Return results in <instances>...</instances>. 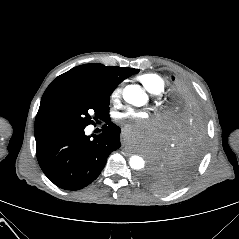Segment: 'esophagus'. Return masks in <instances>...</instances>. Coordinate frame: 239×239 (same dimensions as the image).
<instances>
[{"label": "esophagus", "mask_w": 239, "mask_h": 239, "mask_svg": "<svg viewBox=\"0 0 239 239\" xmlns=\"http://www.w3.org/2000/svg\"><path fill=\"white\" fill-rule=\"evenodd\" d=\"M119 142L122 144V145H125L127 143V140H126V136L125 134H120L119 136Z\"/></svg>", "instance_id": "esophagus-1"}]
</instances>
